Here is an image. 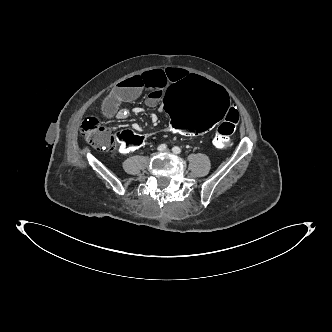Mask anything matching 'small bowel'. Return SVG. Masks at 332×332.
<instances>
[{
	"instance_id": "1",
	"label": "small bowel",
	"mask_w": 332,
	"mask_h": 332,
	"mask_svg": "<svg viewBox=\"0 0 332 332\" xmlns=\"http://www.w3.org/2000/svg\"><path fill=\"white\" fill-rule=\"evenodd\" d=\"M188 75L191 74L183 68L169 67L152 69L127 78L114 86L105 96L101 105L102 114L107 118L116 116L119 119H124L125 114L120 110L121 104L136 99L143 90H149L146 104L148 106H155L161 100L168 87ZM231 110L236 111L228 103L227 112L224 117ZM132 128L137 132L144 131V127L137 123L133 124Z\"/></svg>"
}]
</instances>
